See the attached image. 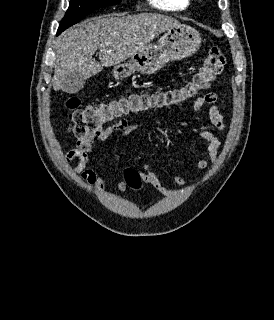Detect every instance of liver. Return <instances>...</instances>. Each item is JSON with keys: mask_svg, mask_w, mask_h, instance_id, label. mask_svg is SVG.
<instances>
[{"mask_svg": "<svg viewBox=\"0 0 274 320\" xmlns=\"http://www.w3.org/2000/svg\"><path fill=\"white\" fill-rule=\"evenodd\" d=\"M108 14L84 20L60 34L55 44L53 90L79 92L81 82L103 68L121 64L140 50L149 48L159 34L180 22L162 14ZM99 52V62L93 56Z\"/></svg>", "mask_w": 274, "mask_h": 320, "instance_id": "1", "label": "liver"}]
</instances>
